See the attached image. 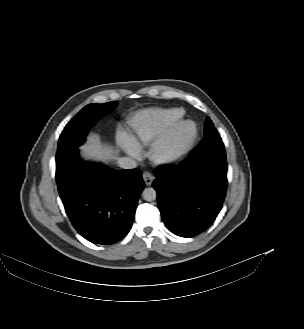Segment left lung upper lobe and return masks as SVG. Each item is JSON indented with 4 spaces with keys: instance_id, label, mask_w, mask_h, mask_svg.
<instances>
[{
    "instance_id": "obj_1",
    "label": "left lung upper lobe",
    "mask_w": 304,
    "mask_h": 329,
    "mask_svg": "<svg viewBox=\"0 0 304 329\" xmlns=\"http://www.w3.org/2000/svg\"><path fill=\"white\" fill-rule=\"evenodd\" d=\"M214 128L212 121L209 117L206 119L205 127H204V135L206 136L208 133H210Z\"/></svg>"
}]
</instances>
